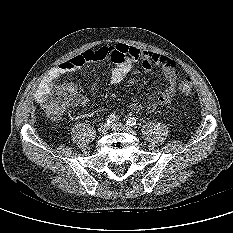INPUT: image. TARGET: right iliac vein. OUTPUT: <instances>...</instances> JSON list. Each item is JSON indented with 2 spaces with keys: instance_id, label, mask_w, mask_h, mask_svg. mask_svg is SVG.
Here are the masks:
<instances>
[{
  "instance_id": "obj_1",
  "label": "right iliac vein",
  "mask_w": 233,
  "mask_h": 233,
  "mask_svg": "<svg viewBox=\"0 0 233 233\" xmlns=\"http://www.w3.org/2000/svg\"><path fill=\"white\" fill-rule=\"evenodd\" d=\"M109 126H110V125L107 124V123L102 124V125L98 128V132H99L100 134H105L106 131L108 130Z\"/></svg>"
}]
</instances>
